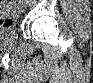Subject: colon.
<instances>
[{"instance_id": "colon-1", "label": "colon", "mask_w": 93, "mask_h": 83, "mask_svg": "<svg viewBox=\"0 0 93 83\" xmlns=\"http://www.w3.org/2000/svg\"><path fill=\"white\" fill-rule=\"evenodd\" d=\"M4 3H11L10 1L8 2H4ZM17 10L13 7H8V6H3V8L1 9V13H0V21L2 23V25H9L13 22V18H14V13Z\"/></svg>"}]
</instances>
